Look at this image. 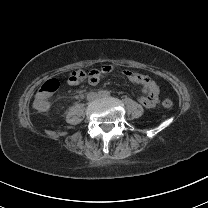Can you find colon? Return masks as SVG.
Returning a JSON list of instances; mask_svg holds the SVG:
<instances>
[{"label": "colon", "mask_w": 208, "mask_h": 208, "mask_svg": "<svg viewBox=\"0 0 208 208\" xmlns=\"http://www.w3.org/2000/svg\"><path fill=\"white\" fill-rule=\"evenodd\" d=\"M85 71L84 70H77L74 71H68L66 76V82L67 83H77L78 78L84 77ZM83 81V80H81ZM60 84V81L58 78L53 77L49 80H47L43 85L40 86V88L36 92V98L33 101V106L37 110H43L47 106V100L52 94V90L56 87H58ZM173 105V102L171 99H164L162 102V106L164 108H171Z\"/></svg>", "instance_id": "colon-1"}]
</instances>
